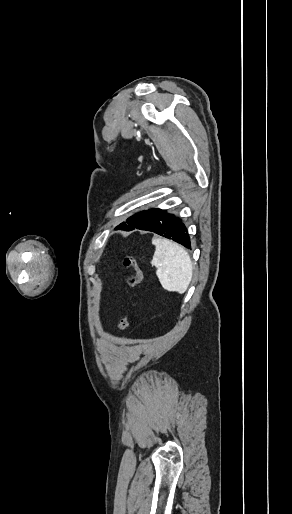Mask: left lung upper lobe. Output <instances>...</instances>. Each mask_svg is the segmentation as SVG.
<instances>
[{
	"label": "left lung upper lobe",
	"instance_id": "1",
	"mask_svg": "<svg viewBox=\"0 0 292 514\" xmlns=\"http://www.w3.org/2000/svg\"><path fill=\"white\" fill-rule=\"evenodd\" d=\"M162 212L163 210L155 208L138 212L129 217L126 222H123L120 225H118L116 229L131 231L134 228H136L140 230H145L154 223V221Z\"/></svg>",
	"mask_w": 292,
	"mask_h": 514
}]
</instances>
